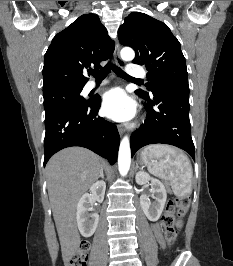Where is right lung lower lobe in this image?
<instances>
[{"mask_svg":"<svg viewBox=\"0 0 233 266\" xmlns=\"http://www.w3.org/2000/svg\"><path fill=\"white\" fill-rule=\"evenodd\" d=\"M100 105L98 96L84 105L65 107L45 116L44 167L54 153L70 146L88 148L110 164L116 162L120 136L113 123L97 116Z\"/></svg>","mask_w":233,"mask_h":266,"instance_id":"right-lung-lower-lobe-1","label":"right lung lower lobe"}]
</instances>
